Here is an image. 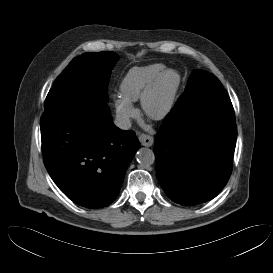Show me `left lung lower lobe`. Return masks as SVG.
<instances>
[{"instance_id":"1","label":"left lung lower lobe","mask_w":273,"mask_h":273,"mask_svg":"<svg viewBox=\"0 0 273 273\" xmlns=\"http://www.w3.org/2000/svg\"><path fill=\"white\" fill-rule=\"evenodd\" d=\"M237 127L219 80L175 104L154 140L156 172L166 195L191 206L216 197L233 167Z\"/></svg>"}]
</instances>
